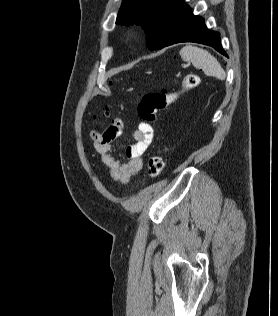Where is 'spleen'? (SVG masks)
<instances>
[{
	"label": "spleen",
	"instance_id": "obj_1",
	"mask_svg": "<svg viewBox=\"0 0 278 316\" xmlns=\"http://www.w3.org/2000/svg\"><path fill=\"white\" fill-rule=\"evenodd\" d=\"M180 56L184 61L191 62L194 67L202 69L206 75L215 76L221 80L226 77L220 63L207 50L186 46L180 50Z\"/></svg>",
	"mask_w": 278,
	"mask_h": 316
}]
</instances>
